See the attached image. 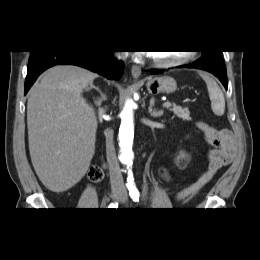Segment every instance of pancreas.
<instances>
[{"instance_id":"1","label":"pancreas","mask_w":260,"mask_h":260,"mask_svg":"<svg viewBox=\"0 0 260 260\" xmlns=\"http://www.w3.org/2000/svg\"><path fill=\"white\" fill-rule=\"evenodd\" d=\"M169 109L178 118H181L183 120H190L191 119L190 118V112H189L188 108H182L180 106H177V105L173 104V106L171 108H169Z\"/></svg>"}]
</instances>
